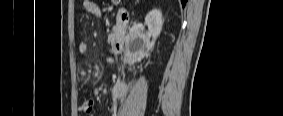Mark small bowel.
Here are the masks:
<instances>
[{
  "label": "small bowel",
  "instance_id": "c3829d8e",
  "mask_svg": "<svg viewBox=\"0 0 283 116\" xmlns=\"http://www.w3.org/2000/svg\"><path fill=\"white\" fill-rule=\"evenodd\" d=\"M82 10L84 12L92 14V15L98 17V18H101L102 15H103L101 8L96 3H94L93 1H89V0H84L82 2ZM78 50H79L80 53L86 54L87 51H88V44L84 41L80 42L79 45H78ZM93 107H94V101L89 99V100H86L85 102H83V104L81 105V110L83 112L89 113L93 110ZM110 110H111L112 113H115L116 112V106L112 105L110 107Z\"/></svg>",
  "mask_w": 283,
  "mask_h": 116
}]
</instances>
